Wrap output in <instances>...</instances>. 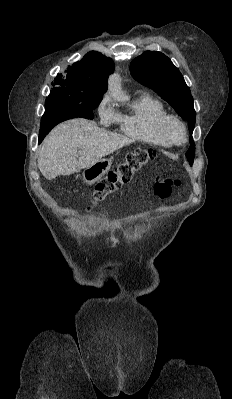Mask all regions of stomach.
Segmentation results:
<instances>
[{"instance_id":"obj_1","label":"stomach","mask_w":232,"mask_h":399,"mask_svg":"<svg viewBox=\"0 0 232 399\" xmlns=\"http://www.w3.org/2000/svg\"><path fill=\"white\" fill-rule=\"evenodd\" d=\"M112 164L111 158H106V160H100V162H96L90 168H86L83 172V184H95V182H99L102 176H105L109 172Z\"/></svg>"}]
</instances>
